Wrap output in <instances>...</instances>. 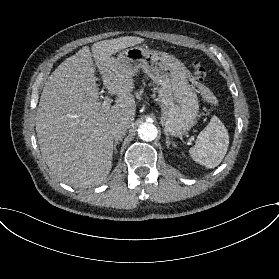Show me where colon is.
<instances>
[{
  "instance_id": "colon-1",
  "label": "colon",
  "mask_w": 279,
  "mask_h": 279,
  "mask_svg": "<svg viewBox=\"0 0 279 279\" xmlns=\"http://www.w3.org/2000/svg\"><path fill=\"white\" fill-rule=\"evenodd\" d=\"M193 74L198 81H204L207 77V71L200 62L193 63Z\"/></svg>"
}]
</instances>
